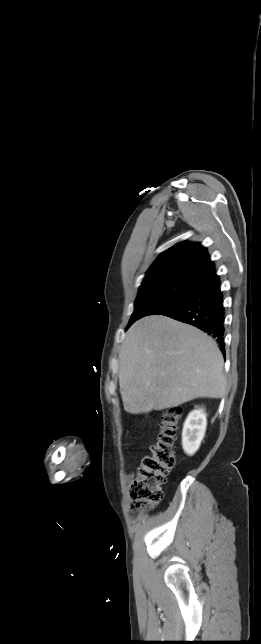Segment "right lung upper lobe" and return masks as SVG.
I'll return each instance as SVG.
<instances>
[{"label":"right lung upper lobe","instance_id":"obj_1","mask_svg":"<svg viewBox=\"0 0 261 644\" xmlns=\"http://www.w3.org/2000/svg\"><path fill=\"white\" fill-rule=\"evenodd\" d=\"M215 273L206 248L200 243L181 242L163 252L150 266L143 284L180 278L200 283Z\"/></svg>","mask_w":261,"mask_h":644}]
</instances>
